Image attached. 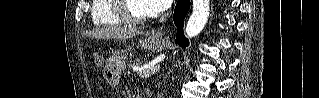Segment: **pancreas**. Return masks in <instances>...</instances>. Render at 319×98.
Segmentation results:
<instances>
[{
  "mask_svg": "<svg viewBox=\"0 0 319 98\" xmlns=\"http://www.w3.org/2000/svg\"><path fill=\"white\" fill-rule=\"evenodd\" d=\"M143 63V60L142 59H134L132 62H130L129 66L132 67V66H139Z\"/></svg>",
  "mask_w": 319,
  "mask_h": 98,
  "instance_id": "1",
  "label": "pancreas"
}]
</instances>
